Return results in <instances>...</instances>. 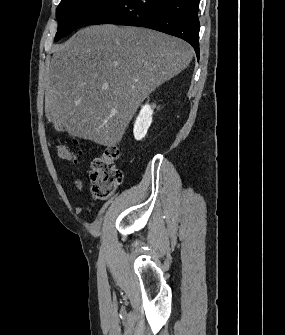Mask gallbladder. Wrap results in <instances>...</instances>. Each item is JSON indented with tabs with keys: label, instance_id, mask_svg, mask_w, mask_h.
<instances>
[{
	"label": "gallbladder",
	"instance_id": "gallbladder-1",
	"mask_svg": "<svg viewBox=\"0 0 285 335\" xmlns=\"http://www.w3.org/2000/svg\"><path fill=\"white\" fill-rule=\"evenodd\" d=\"M56 130H62V126H57Z\"/></svg>",
	"mask_w": 285,
	"mask_h": 335
}]
</instances>
